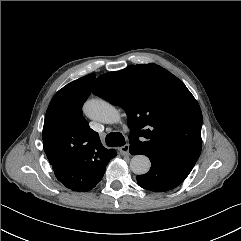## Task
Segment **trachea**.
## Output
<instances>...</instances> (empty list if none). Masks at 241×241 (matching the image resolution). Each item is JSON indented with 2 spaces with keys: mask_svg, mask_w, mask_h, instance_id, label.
Segmentation results:
<instances>
[{
  "mask_svg": "<svg viewBox=\"0 0 241 241\" xmlns=\"http://www.w3.org/2000/svg\"><path fill=\"white\" fill-rule=\"evenodd\" d=\"M106 144L109 147L123 146L125 144L124 136L118 132H111L106 136Z\"/></svg>",
  "mask_w": 241,
  "mask_h": 241,
  "instance_id": "trachea-1",
  "label": "trachea"
}]
</instances>
